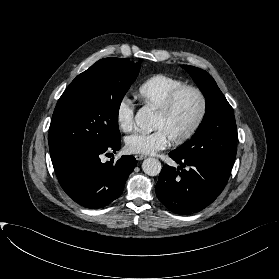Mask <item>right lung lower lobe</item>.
Segmentation results:
<instances>
[{"label": "right lung lower lobe", "instance_id": "1", "mask_svg": "<svg viewBox=\"0 0 279 279\" xmlns=\"http://www.w3.org/2000/svg\"><path fill=\"white\" fill-rule=\"evenodd\" d=\"M121 140L92 150H76L51 158L58 181L78 204L92 209L103 208L122 193L129 174L136 166L133 156H122L102 163L101 154L120 149Z\"/></svg>", "mask_w": 279, "mask_h": 279}]
</instances>
